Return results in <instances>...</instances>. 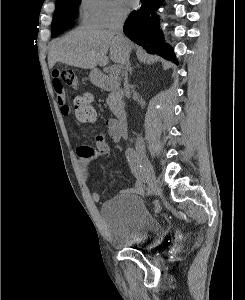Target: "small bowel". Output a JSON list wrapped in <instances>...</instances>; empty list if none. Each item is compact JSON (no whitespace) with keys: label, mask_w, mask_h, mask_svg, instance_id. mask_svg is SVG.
Listing matches in <instances>:
<instances>
[{"label":"small bowel","mask_w":245,"mask_h":300,"mask_svg":"<svg viewBox=\"0 0 245 300\" xmlns=\"http://www.w3.org/2000/svg\"><path fill=\"white\" fill-rule=\"evenodd\" d=\"M52 86L56 94V100L60 107L61 115L66 118L69 117L71 114V110L70 107L66 104L63 84L55 74H53ZM106 129L109 137L116 143L119 142L126 135V133L122 131L116 119H108L106 121ZM95 142V148H89L84 146L78 147L77 152L84 161H89L99 156L110 157L111 152L108 145L105 143L103 131L99 130L96 132ZM143 191L144 185L143 182L139 179H136L134 187L128 190V192L135 194H142ZM92 199L94 202H99L101 199V195L98 192H94L92 194Z\"/></svg>","instance_id":"small-bowel-1"}]
</instances>
